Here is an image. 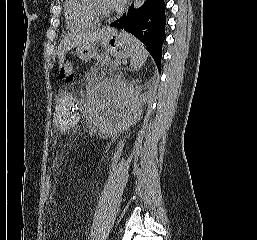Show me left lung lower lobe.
<instances>
[{"label":"left lung lower lobe","mask_w":257,"mask_h":240,"mask_svg":"<svg viewBox=\"0 0 257 240\" xmlns=\"http://www.w3.org/2000/svg\"><path fill=\"white\" fill-rule=\"evenodd\" d=\"M165 24L164 0H145L139 8L132 4L128 12L110 26L124 29L138 38L147 47L160 72Z\"/></svg>","instance_id":"1"}]
</instances>
